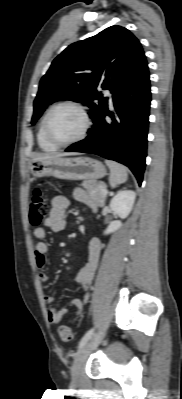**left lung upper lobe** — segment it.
I'll list each match as a JSON object with an SVG mask.
<instances>
[{
	"label": "left lung upper lobe",
	"instance_id": "obj_1",
	"mask_svg": "<svg viewBox=\"0 0 182 399\" xmlns=\"http://www.w3.org/2000/svg\"><path fill=\"white\" fill-rule=\"evenodd\" d=\"M146 62L139 40L126 28L111 26L68 46L42 77L34 101V124L51 103L71 100L91 108L93 120L107 108L108 98Z\"/></svg>",
	"mask_w": 182,
	"mask_h": 399
}]
</instances>
